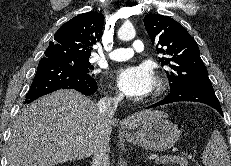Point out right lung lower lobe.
I'll list each match as a JSON object with an SVG mask.
<instances>
[{"label":"right lung lower lobe","mask_w":231,"mask_h":166,"mask_svg":"<svg viewBox=\"0 0 231 166\" xmlns=\"http://www.w3.org/2000/svg\"><path fill=\"white\" fill-rule=\"evenodd\" d=\"M64 88L91 95L97 91L98 87L94 75L83 73L69 64L44 57L39 62L25 103H31L45 94Z\"/></svg>","instance_id":"1"}]
</instances>
